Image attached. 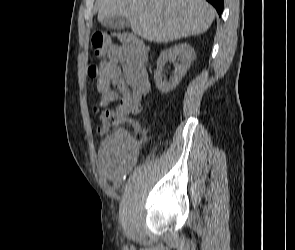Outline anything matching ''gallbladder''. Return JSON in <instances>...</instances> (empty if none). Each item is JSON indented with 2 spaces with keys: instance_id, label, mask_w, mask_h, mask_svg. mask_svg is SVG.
<instances>
[{
  "instance_id": "1",
  "label": "gallbladder",
  "mask_w": 295,
  "mask_h": 250,
  "mask_svg": "<svg viewBox=\"0 0 295 250\" xmlns=\"http://www.w3.org/2000/svg\"><path fill=\"white\" fill-rule=\"evenodd\" d=\"M101 25L112 30H121L129 26V21L125 16H111L104 19Z\"/></svg>"
}]
</instances>
